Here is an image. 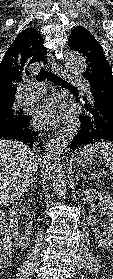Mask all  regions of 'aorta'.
Instances as JSON below:
<instances>
[{
	"mask_svg": "<svg viewBox=\"0 0 113 279\" xmlns=\"http://www.w3.org/2000/svg\"><path fill=\"white\" fill-rule=\"evenodd\" d=\"M65 67L72 73H83L86 68L84 57L75 51H64ZM80 122L73 119L61 129L47 144L43 157V170L51 181L53 189L58 193L66 191L65 175L61 164V154L77 135Z\"/></svg>",
	"mask_w": 113,
	"mask_h": 279,
	"instance_id": "762f6f07",
	"label": "aorta"
}]
</instances>
